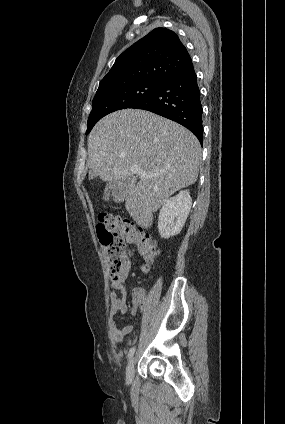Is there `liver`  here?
Listing matches in <instances>:
<instances>
[{
    "label": "liver",
    "mask_w": 285,
    "mask_h": 424,
    "mask_svg": "<svg viewBox=\"0 0 285 424\" xmlns=\"http://www.w3.org/2000/svg\"><path fill=\"white\" fill-rule=\"evenodd\" d=\"M89 180L130 181L133 165L152 177L139 176L128 186L125 207L136 223L151 226L153 212L176 191L198 177L201 146L188 129L149 111L124 109L102 118L88 137Z\"/></svg>",
    "instance_id": "liver-1"
}]
</instances>
